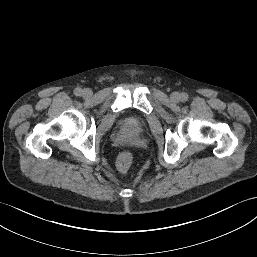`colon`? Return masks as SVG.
I'll list each match as a JSON object with an SVG mask.
<instances>
[{
  "label": "colon",
  "mask_w": 257,
  "mask_h": 257,
  "mask_svg": "<svg viewBox=\"0 0 257 257\" xmlns=\"http://www.w3.org/2000/svg\"><path fill=\"white\" fill-rule=\"evenodd\" d=\"M133 165V157L129 151L122 152L117 159V168L121 172H127Z\"/></svg>",
  "instance_id": "colon-1"
}]
</instances>
